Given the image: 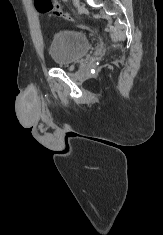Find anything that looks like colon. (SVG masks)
<instances>
[{"instance_id":"5ec220e1","label":"colon","mask_w":163,"mask_h":235,"mask_svg":"<svg viewBox=\"0 0 163 235\" xmlns=\"http://www.w3.org/2000/svg\"><path fill=\"white\" fill-rule=\"evenodd\" d=\"M36 6L43 13H52L55 16L72 20V17L54 0H36Z\"/></svg>"}]
</instances>
